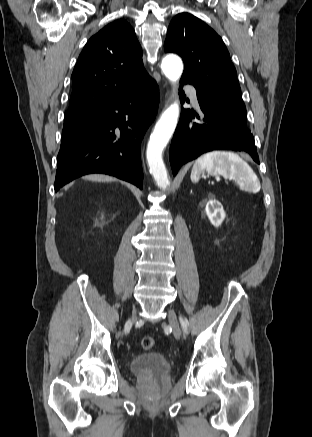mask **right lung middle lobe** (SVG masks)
<instances>
[{
	"label": "right lung middle lobe",
	"mask_w": 312,
	"mask_h": 437,
	"mask_svg": "<svg viewBox=\"0 0 312 437\" xmlns=\"http://www.w3.org/2000/svg\"><path fill=\"white\" fill-rule=\"evenodd\" d=\"M86 113L87 112H66L64 125L77 121L78 119L82 118Z\"/></svg>",
	"instance_id": "obj_1"
}]
</instances>
